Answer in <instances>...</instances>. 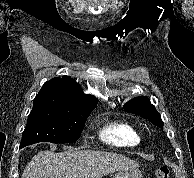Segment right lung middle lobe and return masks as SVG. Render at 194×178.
Masks as SVG:
<instances>
[{
	"label": "right lung middle lobe",
	"instance_id": "dd1d6c3e",
	"mask_svg": "<svg viewBox=\"0 0 194 178\" xmlns=\"http://www.w3.org/2000/svg\"><path fill=\"white\" fill-rule=\"evenodd\" d=\"M89 112H72L49 103H33L20 147L38 142L71 143L78 140Z\"/></svg>",
	"mask_w": 194,
	"mask_h": 178
}]
</instances>
